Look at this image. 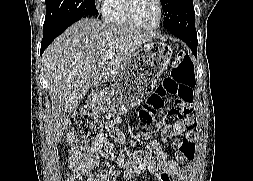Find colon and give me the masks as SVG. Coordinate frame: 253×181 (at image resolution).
Segmentation results:
<instances>
[{"instance_id": "1", "label": "colon", "mask_w": 253, "mask_h": 181, "mask_svg": "<svg viewBox=\"0 0 253 181\" xmlns=\"http://www.w3.org/2000/svg\"><path fill=\"white\" fill-rule=\"evenodd\" d=\"M172 55H178V62L172 73L166 76L157 90L152 93L143 109L140 111L142 123L151 125L155 121L158 111L166 100H171L175 108L171 115L184 116L190 111L193 102V88L196 79L193 63L185 50H172ZM166 133L167 129L164 128ZM67 139L72 148H81L87 151H104L115 156L121 163H129L138 169L149 167L163 159V153L157 143H151L147 150L129 153L120 151L115 153L112 147L105 144L101 124L92 114L79 111L74 114L67 130Z\"/></svg>"}]
</instances>
